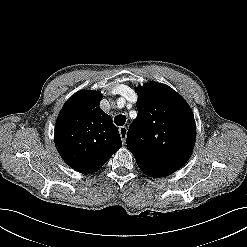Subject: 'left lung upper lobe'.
<instances>
[{
  "instance_id": "1",
  "label": "left lung upper lobe",
  "mask_w": 247,
  "mask_h": 247,
  "mask_svg": "<svg viewBox=\"0 0 247 247\" xmlns=\"http://www.w3.org/2000/svg\"><path fill=\"white\" fill-rule=\"evenodd\" d=\"M138 116L127 133V148L137 162L178 170L192 154L196 140L193 113L167 85L151 82L136 88Z\"/></svg>"
}]
</instances>
